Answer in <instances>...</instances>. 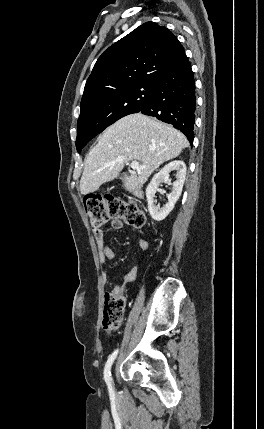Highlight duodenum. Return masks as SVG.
Listing matches in <instances>:
<instances>
[{"mask_svg":"<svg viewBox=\"0 0 264 429\" xmlns=\"http://www.w3.org/2000/svg\"><path fill=\"white\" fill-rule=\"evenodd\" d=\"M134 193L137 197H139V198L142 197V192L140 190H136Z\"/></svg>","mask_w":264,"mask_h":429,"instance_id":"obj_1","label":"duodenum"}]
</instances>
